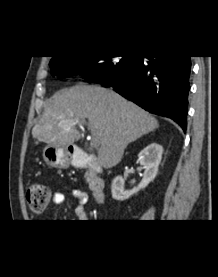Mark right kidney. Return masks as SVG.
<instances>
[{"label": "right kidney", "instance_id": "1", "mask_svg": "<svg viewBox=\"0 0 218 277\" xmlns=\"http://www.w3.org/2000/svg\"><path fill=\"white\" fill-rule=\"evenodd\" d=\"M162 153L163 147L157 143H151L144 148L138 155L139 162L145 169L140 184L132 190L124 192V179L122 176H117L114 178L111 186L112 197L116 200H125L148 186L157 175Z\"/></svg>", "mask_w": 218, "mask_h": 277}]
</instances>
